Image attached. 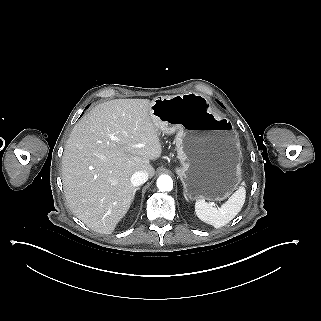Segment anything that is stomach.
I'll use <instances>...</instances> for the list:
<instances>
[{
    "label": "stomach",
    "instance_id": "0dacf381",
    "mask_svg": "<svg viewBox=\"0 0 321 321\" xmlns=\"http://www.w3.org/2000/svg\"><path fill=\"white\" fill-rule=\"evenodd\" d=\"M149 114L158 135L174 134L176 170L190 199L221 201L241 181V146L233 122L210 109L199 93L157 96Z\"/></svg>",
    "mask_w": 321,
    "mask_h": 321
}]
</instances>
